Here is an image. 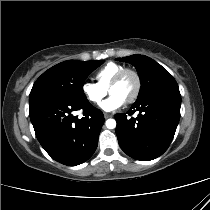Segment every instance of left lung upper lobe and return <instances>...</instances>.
Listing matches in <instances>:
<instances>
[{
	"mask_svg": "<svg viewBox=\"0 0 210 210\" xmlns=\"http://www.w3.org/2000/svg\"><path fill=\"white\" fill-rule=\"evenodd\" d=\"M118 60L134 65L138 71L141 88L136 101L162 90L179 89L175 79L168 71L147 56L136 54Z\"/></svg>",
	"mask_w": 210,
	"mask_h": 210,
	"instance_id": "obj_1",
	"label": "left lung upper lobe"
}]
</instances>
